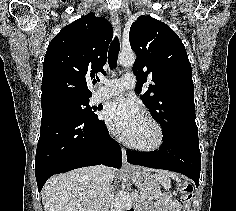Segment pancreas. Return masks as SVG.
Listing matches in <instances>:
<instances>
[{
	"label": "pancreas",
	"mask_w": 236,
	"mask_h": 211,
	"mask_svg": "<svg viewBox=\"0 0 236 211\" xmlns=\"http://www.w3.org/2000/svg\"><path fill=\"white\" fill-rule=\"evenodd\" d=\"M132 197L134 198V207L136 211H148L151 208L152 203L145 200L144 195L140 191H135L132 194Z\"/></svg>",
	"instance_id": "pancreas-1"
}]
</instances>
